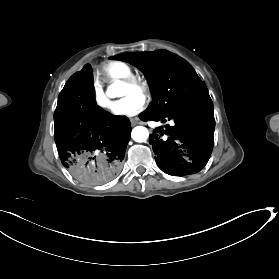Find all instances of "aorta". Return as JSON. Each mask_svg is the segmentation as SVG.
Returning a JSON list of instances; mask_svg holds the SVG:
<instances>
[{
    "label": "aorta",
    "mask_w": 279,
    "mask_h": 279,
    "mask_svg": "<svg viewBox=\"0 0 279 279\" xmlns=\"http://www.w3.org/2000/svg\"><path fill=\"white\" fill-rule=\"evenodd\" d=\"M125 91V84L119 80L108 86L106 94L109 98L121 97ZM131 137L136 142H145L149 137V132L146 127L136 126L132 129Z\"/></svg>",
    "instance_id": "aorta-1"
}]
</instances>
